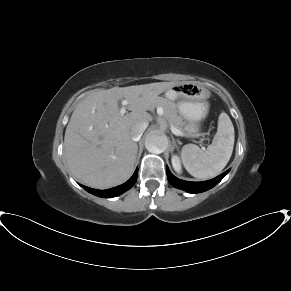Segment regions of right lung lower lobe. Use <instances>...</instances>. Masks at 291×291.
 Returning <instances> with one entry per match:
<instances>
[{"label": "right lung lower lobe", "mask_w": 291, "mask_h": 291, "mask_svg": "<svg viewBox=\"0 0 291 291\" xmlns=\"http://www.w3.org/2000/svg\"><path fill=\"white\" fill-rule=\"evenodd\" d=\"M138 176V168L134 172L133 176L124 184L119 185L117 187L107 189V190H97V189H92L86 186H82L86 191L90 192L91 194H94L99 197H104V198H112L115 196H118L128 189H130L136 182Z\"/></svg>", "instance_id": "98d812e1"}]
</instances>
